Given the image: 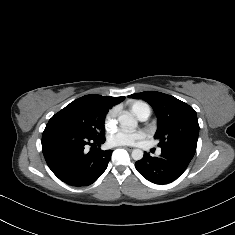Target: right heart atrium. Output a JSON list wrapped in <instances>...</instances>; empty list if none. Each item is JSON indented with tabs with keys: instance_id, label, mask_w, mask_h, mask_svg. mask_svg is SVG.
Masks as SVG:
<instances>
[{
	"instance_id": "1",
	"label": "right heart atrium",
	"mask_w": 235,
	"mask_h": 235,
	"mask_svg": "<svg viewBox=\"0 0 235 235\" xmlns=\"http://www.w3.org/2000/svg\"><path fill=\"white\" fill-rule=\"evenodd\" d=\"M117 113H118V109L116 107H113L109 110L104 120V124L106 127H111L114 125L116 121Z\"/></svg>"
}]
</instances>
